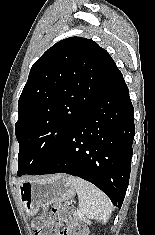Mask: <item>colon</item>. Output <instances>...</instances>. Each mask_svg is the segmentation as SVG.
<instances>
[{
  "label": "colon",
  "mask_w": 155,
  "mask_h": 235,
  "mask_svg": "<svg viewBox=\"0 0 155 235\" xmlns=\"http://www.w3.org/2000/svg\"><path fill=\"white\" fill-rule=\"evenodd\" d=\"M53 212L62 221L67 222V227L63 231H59L58 221L48 211H44L33 223L35 235H88L81 224L70 219L71 209L69 204L56 205Z\"/></svg>",
  "instance_id": "obj_1"
}]
</instances>
